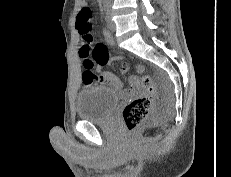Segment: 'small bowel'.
I'll return each mask as SVG.
<instances>
[{"mask_svg":"<svg viewBox=\"0 0 231 177\" xmlns=\"http://www.w3.org/2000/svg\"><path fill=\"white\" fill-rule=\"evenodd\" d=\"M84 7H88V6H87V3L83 1L81 4V9H83ZM104 35H105V39H106L107 43L112 44L113 38L111 37V35L106 31H104ZM103 66L104 65H98L99 82L97 84H103V85L109 86L111 88H114L116 90H122L123 85H122L121 81L115 75L110 73L109 71L103 70ZM137 70L139 72H142L143 67L138 66ZM83 81H84V76H83ZM129 84H130V92H134L139 87V79L136 76H130L129 77Z\"/></svg>","mask_w":231,"mask_h":177,"instance_id":"small-bowel-1","label":"small bowel"}]
</instances>
